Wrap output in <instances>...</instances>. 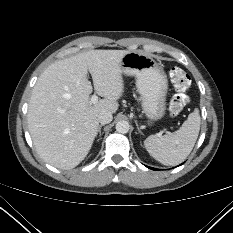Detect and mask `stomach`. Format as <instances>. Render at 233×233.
<instances>
[{"label":"stomach","instance_id":"0dacf381","mask_svg":"<svg viewBox=\"0 0 233 233\" xmlns=\"http://www.w3.org/2000/svg\"><path fill=\"white\" fill-rule=\"evenodd\" d=\"M122 71L136 77V87L142 101V109L151 125L165 115L168 90L167 75L149 55L128 52L123 56Z\"/></svg>","mask_w":233,"mask_h":233}]
</instances>
